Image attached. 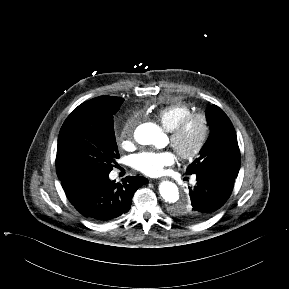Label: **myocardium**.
<instances>
[{"label":"myocardium","instance_id":"obj_1","mask_svg":"<svg viewBox=\"0 0 289 289\" xmlns=\"http://www.w3.org/2000/svg\"><path fill=\"white\" fill-rule=\"evenodd\" d=\"M199 120L201 123V136L198 143L189 151H183L178 147V142L190 122ZM210 134V123L207 116L203 113H191L182 118L177 125L170 131V143L180 158L192 160L196 158L205 148Z\"/></svg>","mask_w":289,"mask_h":289}]
</instances>
